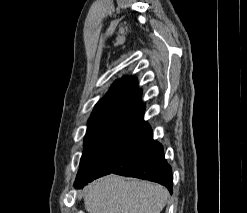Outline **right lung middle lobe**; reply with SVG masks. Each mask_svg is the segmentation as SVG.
<instances>
[{"label": "right lung middle lobe", "instance_id": "dd1d6c3e", "mask_svg": "<svg viewBox=\"0 0 247 213\" xmlns=\"http://www.w3.org/2000/svg\"><path fill=\"white\" fill-rule=\"evenodd\" d=\"M131 110L124 108L109 111L89 121L75 188L86 185L97 176L98 162L116 142Z\"/></svg>", "mask_w": 247, "mask_h": 213}]
</instances>
